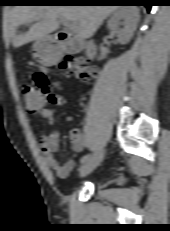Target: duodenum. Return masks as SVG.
Instances as JSON below:
<instances>
[{"instance_id": "obj_1", "label": "duodenum", "mask_w": 170, "mask_h": 231, "mask_svg": "<svg viewBox=\"0 0 170 231\" xmlns=\"http://www.w3.org/2000/svg\"><path fill=\"white\" fill-rule=\"evenodd\" d=\"M54 38L59 44L57 53L75 54L83 50L88 59L96 57L97 47L93 42H84L78 38L71 37L70 34L65 31L56 32Z\"/></svg>"}]
</instances>
